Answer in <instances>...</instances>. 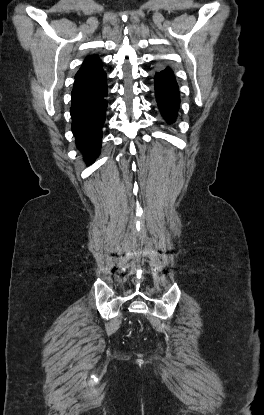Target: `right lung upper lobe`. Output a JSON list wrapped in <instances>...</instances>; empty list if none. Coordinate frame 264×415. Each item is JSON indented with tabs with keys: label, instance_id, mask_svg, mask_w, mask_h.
Returning <instances> with one entry per match:
<instances>
[{
	"label": "right lung upper lobe",
	"instance_id": "obj_1",
	"mask_svg": "<svg viewBox=\"0 0 264 415\" xmlns=\"http://www.w3.org/2000/svg\"><path fill=\"white\" fill-rule=\"evenodd\" d=\"M101 60L98 56L92 55L87 57L82 64L80 70L77 72L75 78H81L86 76H91L102 72Z\"/></svg>",
	"mask_w": 264,
	"mask_h": 415
}]
</instances>
